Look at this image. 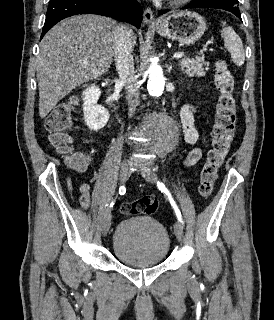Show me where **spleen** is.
Masks as SVG:
<instances>
[{
    "mask_svg": "<svg viewBox=\"0 0 274 320\" xmlns=\"http://www.w3.org/2000/svg\"><path fill=\"white\" fill-rule=\"evenodd\" d=\"M222 24L221 38L224 40V46L228 52H230L234 64H236V66H243L245 62V52L241 40L231 26L224 28L226 22H222Z\"/></svg>",
    "mask_w": 274,
    "mask_h": 320,
    "instance_id": "spleen-1",
    "label": "spleen"
}]
</instances>
